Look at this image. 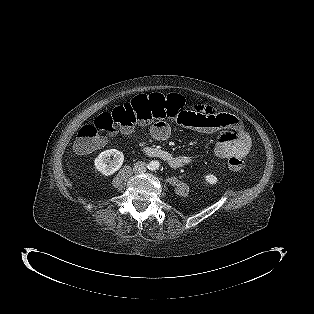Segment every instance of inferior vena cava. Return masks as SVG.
Returning <instances> with one entry per match:
<instances>
[{
	"instance_id": "602c4592",
	"label": "inferior vena cava",
	"mask_w": 314,
	"mask_h": 314,
	"mask_svg": "<svg viewBox=\"0 0 314 314\" xmlns=\"http://www.w3.org/2000/svg\"><path fill=\"white\" fill-rule=\"evenodd\" d=\"M133 169L136 173H144L146 172V163L142 161H138L135 163Z\"/></svg>"
}]
</instances>
